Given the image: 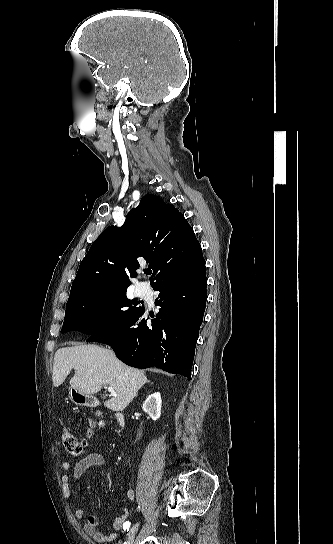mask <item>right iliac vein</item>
Instances as JSON below:
<instances>
[{"label": "right iliac vein", "instance_id": "1", "mask_svg": "<svg viewBox=\"0 0 333 544\" xmlns=\"http://www.w3.org/2000/svg\"><path fill=\"white\" fill-rule=\"evenodd\" d=\"M138 527H139V522L135 523L132 526V528L130 529V531L128 533L127 540H126L125 544H133L136 532L138 530Z\"/></svg>", "mask_w": 333, "mask_h": 544}]
</instances>
